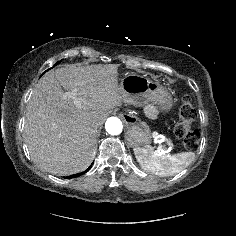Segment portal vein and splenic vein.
<instances>
[{
    "instance_id": "portal-vein-and-splenic-vein-1",
    "label": "portal vein and splenic vein",
    "mask_w": 236,
    "mask_h": 236,
    "mask_svg": "<svg viewBox=\"0 0 236 236\" xmlns=\"http://www.w3.org/2000/svg\"><path fill=\"white\" fill-rule=\"evenodd\" d=\"M66 96L71 98L76 106H80L81 104V100L77 97L76 92L75 91H71V92H67ZM153 138H154V142L157 144H161L162 142H165V138L163 135H159L157 132L153 133ZM162 153H168L170 152V150H162L161 148L159 149Z\"/></svg>"
}]
</instances>
